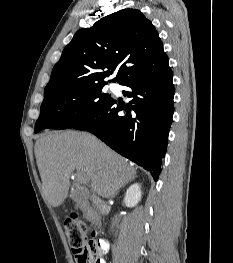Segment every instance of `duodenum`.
Segmentation results:
<instances>
[{"label":"duodenum","mask_w":233,"mask_h":263,"mask_svg":"<svg viewBox=\"0 0 233 263\" xmlns=\"http://www.w3.org/2000/svg\"><path fill=\"white\" fill-rule=\"evenodd\" d=\"M77 205L79 206L80 209H82L87 218L96 226L99 225V221H98V210L93 208L88 200H82V201H78Z\"/></svg>","instance_id":"obj_1"}]
</instances>
